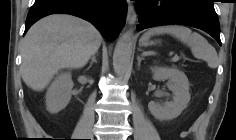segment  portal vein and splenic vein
<instances>
[{
	"instance_id": "obj_1",
	"label": "portal vein and splenic vein",
	"mask_w": 236,
	"mask_h": 140,
	"mask_svg": "<svg viewBox=\"0 0 236 140\" xmlns=\"http://www.w3.org/2000/svg\"><path fill=\"white\" fill-rule=\"evenodd\" d=\"M179 60V56L178 55H175L173 58H172V61L176 62Z\"/></svg>"
}]
</instances>
